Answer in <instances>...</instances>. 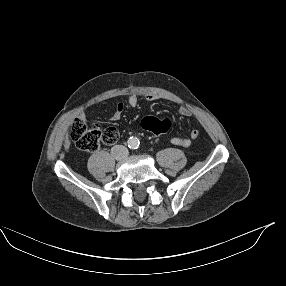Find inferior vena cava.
Returning <instances> with one entry per match:
<instances>
[{"mask_svg": "<svg viewBox=\"0 0 286 286\" xmlns=\"http://www.w3.org/2000/svg\"><path fill=\"white\" fill-rule=\"evenodd\" d=\"M111 154L113 157L117 160H124L127 158L129 151L128 149L123 145H115L111 149Z\"/></svg>", "mask_w": 286, "mask_h": 286, "instance_id": "1", "label": "inferior vena cava"}]
</instances>
